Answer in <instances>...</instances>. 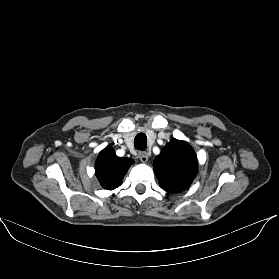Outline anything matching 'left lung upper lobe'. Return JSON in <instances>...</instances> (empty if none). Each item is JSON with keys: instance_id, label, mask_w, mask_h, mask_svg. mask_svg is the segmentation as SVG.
<instances>
[{"instance_id": "1", "label": "left lung upper lobe", "mask_w": 279, "mask_h": 279, "mask_svg": "<svg viewBox=\"0 0 279 279\" xmlns=\"http://www.w3.org/2000/svg\"><path fill=\"white\" fill-rule=\"evenodd\" d=\"M154 172L162 189L179 193L187 189L198 171L197 156L185 141L172 139L155 158Z\"/></svg>"}]
</instances>
